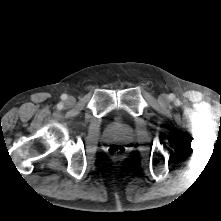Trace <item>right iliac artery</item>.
Segmentation results:
<instances>
[{"instance_id": "right-iliac-artery-1", "label": "right iliac artery", "mask_w": 221, "mask_h": 221, "mask_svg": "<svg viewBox=\"0 0 221 221\" xmlns=\"http://www.w3.org/2000/svg\"><path fill=\"white\" fill-rule=\"evenodd\" d=\"M57 107H58V109H62L63 104H62V103H60V104H58V105H57Z\"/></svg>"}]
</instances>
